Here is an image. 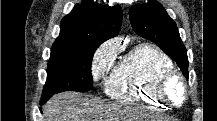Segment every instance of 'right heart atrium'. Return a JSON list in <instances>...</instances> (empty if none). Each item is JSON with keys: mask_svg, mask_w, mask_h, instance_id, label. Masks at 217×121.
I'll list each match as a JSON object with an SVG mask.
<instances>
[{"mask_svg": "<svg viewBox=\"0 0 217 121\" xmlns=\"http://www.w3.org/2000/svg\"><path fill=\"white\" fill-rule=\"evenodd\" d=\"M117 50L113 42H106L96 51L91 66V72L95 79H99L104 74Z\"/></svg>", "mask_w": 217, "mask_h": 121, "instance_id": "d8ad5b80", "label": "right heart atrium"}]
</instances>
